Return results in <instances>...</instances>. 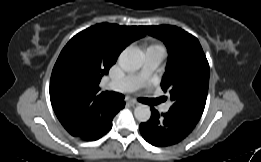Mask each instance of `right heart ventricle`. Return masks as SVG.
Instances as JSON below:
<instances>
[{
  "label": "right heart ventricle",
  "mask_w": 261,
  "mask_h": 162,
  "mask_svg": "<svg viewBox=\"0 0 261 162\" xmlns=\"http://www.w3.org/2000/svg\"><path fill=\"white\" fill-rule=\"evenodd\" d=\"M149 49H161V50H163L164 48H163V46H162L161 44H159V43H152V44H150V45L147 47L146 50H149Z\"/></svg>",
  "instance_id": "obj_1"
}]
</instances>
